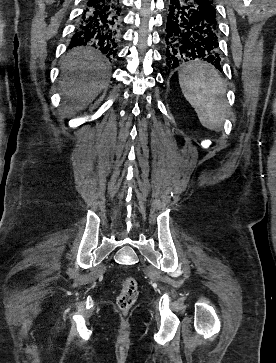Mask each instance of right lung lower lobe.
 <instances>
[{
	"label": "right lung lower lobe",
	"instance_id": "98d812e1",
	"mask_svg": "<svg viewBox=\"0 0 276 363\" xmlns=\"http://www.w3.org/2000/svg\"><path fill=\"white\" fill-rule=\"evenodd\" d=\"M122 15L121 0H85L69 48L91 45L107 57H115Z\"/></svg>",
	"mask_w": 276,
	"mask_h": 363
}]
</instances>
